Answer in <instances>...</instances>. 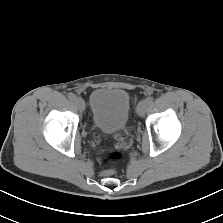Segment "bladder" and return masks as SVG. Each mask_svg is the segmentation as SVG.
Returning a JSON list of instances; mask_svg holds the SVG:
<instances>
[{
  "label": "bladder",
  "instance_id": "bladder-1",
  "mask_svg": "<svg viewBox=\"0 0 223 223\" xmlns=\"http://www.w3.org/2000/svg\"><path fill=\"white\" fill-rule=\"evenodd\" d=\"M90 109L94 125L104 133L122 130L131 111L128 92L121 88H98L90 95Z\"/></svg>",
  "mask_w": 223,
  "mask_h": 223
}]
</instances>
